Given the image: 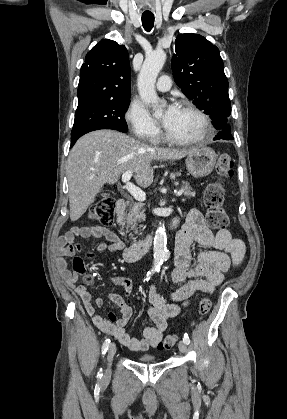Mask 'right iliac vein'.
<instances>
[{"label": "right iliac vein", "instance_id": "1", "mask_svg": "<svg viewBox=\"0 0 287 419\" xmlns=\"http://www.w3.org/2000/svg\"><path fill=\"white\" fill-rule=\"evenodd\" d=\"M115 353H116V346H115V344H111L110 347H109V350L107 352V355H106V360H107V365H108L107 370L105 372L106 377H108L111 373L110 366H111V363H112V360H113V357H114Z\"/></svg>", "mask_w": 287, "mask_h": 419}]
</instances>
